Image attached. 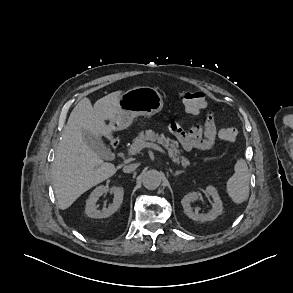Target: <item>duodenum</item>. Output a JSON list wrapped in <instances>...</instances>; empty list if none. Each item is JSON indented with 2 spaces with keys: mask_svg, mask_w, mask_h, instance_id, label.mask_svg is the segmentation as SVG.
Here are the masks:
<instances>
[{
  "mask_svg": "<svg viewBox=\"0 0 293 293\" xmlns=\"http://www.w3.org/2000/svg\"><path fill=\"white\" fill-rule=\"evenodd\" d=\"M118 146H119L118 143H116V142H113V143H112V148H113L114 150H116V149L118 148Z\"/></svg>",
  "mask_w": 293,
  "mask_h": 293,
  "instance_id": "obj_1",
  "label": "duodenum"
}]
</instances>
